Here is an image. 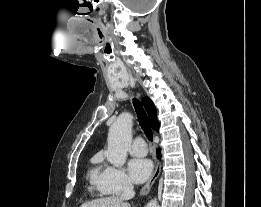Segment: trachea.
<instances>
[{
	"mask_svg": "<svg viewBox=\"0 0 261 207\" xmlns=\"http://www.w3.org/2000/svg\"><path fill=\"white\" fill-rule=\"evenodd\" d=\"M133 105L136 110L138 121L140 123L142 130L144 131L148 140L152 141L153 140L152 129L150 127L147 114H146L142 104L137 99H133Z\"/></svg>",
	"mask_w": 261,
	"mask_h": 207,
	"instance_id": "obj_1",
	"label": "trachea"
}]
</instances>
